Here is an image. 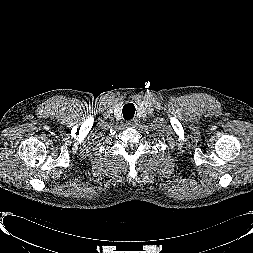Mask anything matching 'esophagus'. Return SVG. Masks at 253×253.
<instances>
[{"mask_svg":"<svg viewBox=\"0 0 253 253\" xmlns=\"http://www.w3.org/2000/svg\"><path fill=\"white\" fill-rule=\"evenodd\" d=\"M127 125L132 128H136L138 125V120L136 118H134V119L128 121Z\"/></svg>","mask_w":253,"mask_h":253,"instance_id":"obj_1","label":"esophagus"}]
</instances>
